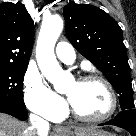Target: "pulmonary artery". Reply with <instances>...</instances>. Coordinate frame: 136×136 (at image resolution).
Wrapping results in <instances>:
<instances>
[{
	"mask_svg": "<svg viewBox=\"0 0 136 136\" xmlns=\"http://www.w3.org/2000/svg\"><path fill=\"white\" fill-rule=\"evenodd\" d=\"M55 52L57 57L66 64H72L76 57L74 48L67 42H59Z\"/></svg>",
	"mask_w": 136,
	"mask_h": 136,
	"instance_id": "1",
	"label": "pulmonary artery"
}]
</instances>
